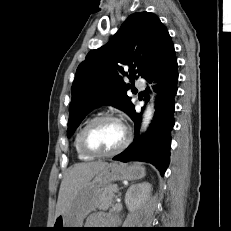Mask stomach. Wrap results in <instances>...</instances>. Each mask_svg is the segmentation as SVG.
I'll return each mask as SVG.
<instances>
[{"label": "stomach", "instance_id": "1", "mask_svg": "<svg viewBox=\"0 0 231 231\" xmlns=\"http://www.w3.org/2000/svg\"><path fill=\"white\" fill-rule=\"evenodd\" d=\"M145 176V168L140 164L126 165L118 162L108 164L72 199L66 212L55 218L54 231L77 230L83 228L84 218L100 207L99 197L106 183L117 180H136Z\"/></svg>", "mask_w": 231, "mask_h": 231}]
</instances>
